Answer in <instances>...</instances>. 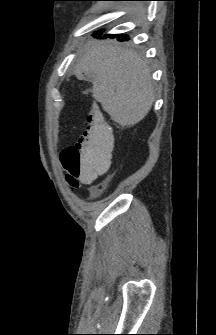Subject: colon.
Segmentation results:
<instances>
[{
  "label": "colon",
  "mask_w": 216,
  "mask_h": 335,
  "mask_svg": "<svg viewBox=\"0 0 216 335\" xmlns=\"http://www.w3.org/2000/svg\"><path fill=\"white\" fill-rule=\"evenodd\" d=\"M111 136V126L97 108L93 109L81 139L61 152L68 185H77V178H101L102 172L112 171L114 145Z\"/></svg>",
  "instance_id": "obj_1"
}]
</instances>
